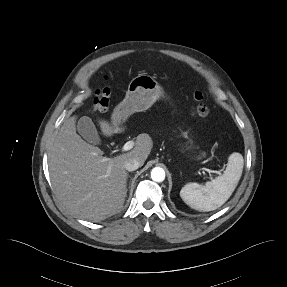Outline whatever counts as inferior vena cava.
<instances>
[{
  "instance_id": "inferior-vena-cava-1",
  "label": "inferior vena cava",
  "mask_w": 287,
  "mask_h": 287,
  "mask_svg": "<svg viewBox=\"0 0 287 287\" xmlns=\"http://www.w3.org/2000/svg\"><path fill=\"white\" fill-rule=\"evenodd\" d=\"M140 166H141L140 162L134 158H129L124 162V168L127 171L137 170Z\"/></svg>"
}]
</instances>
